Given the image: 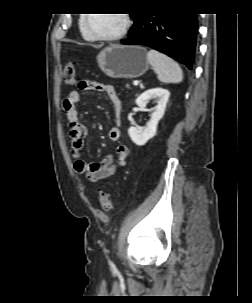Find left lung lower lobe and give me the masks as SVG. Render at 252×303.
<instances>
[{
	"mask_svg": "<svg viewBox=\"0 0 252 303\" xmlns=\"http://www.w3.org/2000/svg\"><path fill=\"white\" fill-rule=\"evenodd\" d=\"M196 38L195 13H141L129 37L122 44L153 48L191 69L195 58Z\"/></svg>",
	"mask_w": 252,
	"mask_h": 303,
	"instance_id": "0a47b994",
	"label": "left lung lower lobe"
}]
</instances>
